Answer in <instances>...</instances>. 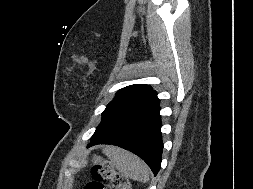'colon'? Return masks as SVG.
<instances>
[{"instance_id": "obj_1", "label": "colon", "mask_w": 253, "mask_h": 189, "mask_svg": "<svg viewBox=\"0 0 253 189\" xmlns=\"http://www.w3.org/2000/svg\"><path fill=\"white\" fill-rule=\"evenodd\" d=\"M91 174L93 179L86 184L85 189H131V180L116 170L107 159L96 157Z\"/></svg>"}]
</instances>
